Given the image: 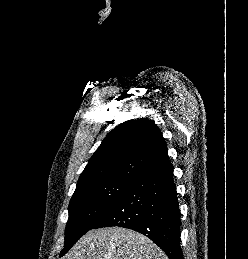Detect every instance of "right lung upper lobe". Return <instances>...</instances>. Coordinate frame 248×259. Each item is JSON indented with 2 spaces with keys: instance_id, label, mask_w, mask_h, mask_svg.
<instances>
[{
  "instance_id": "cb5924a9",
  "label": "right lung upper lobe",
  "mask_w": 248,
  "mask_h": 259,
  "mask_svg": "<svg viewBox=\"0 0 248 259\" xmlns=\"http://www.w3.org/2000/svg\"><path fill=\"white\" fill-rule=\"evenodd\" d=\"M170 165L157 125L147 119L129 120L105 137L80 175L76 188L107 181L133 184Z\"/></svg>"
}]
</instances>
